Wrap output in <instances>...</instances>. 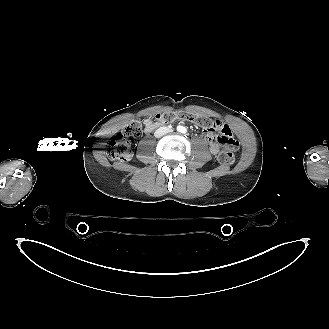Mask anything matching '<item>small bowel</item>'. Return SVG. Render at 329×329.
<instances>
[{"mask_svg": "<svg viewBox=\"0 0 329 329\" xmlns=\"http://www.w3.org/2000/svg\"><path fill=\"white\" fill-rule=\"evenodd\" d=\"M147 126H146V131L147 132H151L153 131L155 128H157V124L156 123H153L149 120H147L146 122ZM222 127L224 128V132L232 137V133H231V129L229 128L228 125L226 124H221ZM204 135L205 137L208 139L209 141V145H210V150L211 152L214 154V155H217L218 154V151H219V147H220V138L219 136H217L214 132L212 131H206L204 130Z\"/></svg>", "mask_w": 329, "mask_h": 329, "instance_id": "small-bowel-1", "label": "small bowel"}]
</instances>
